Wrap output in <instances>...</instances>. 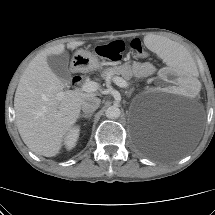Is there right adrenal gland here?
<instances>
[{
    "instance_id": "obj_1",
    "label": "right adrenal gland",
    "mask_w": 215,
    "mask_h": 215,
    "mask_svg": "<svg viewBox=\"0 0 215 215\" xmlns=\"http://www.w3.org/2000/svg\"><path fill=\"white\" fill-rule=\"evenodd\" d=\"M91 117H92V113L79 115V118H89V119H91Z\"/></svg>"
}]
</instances>
